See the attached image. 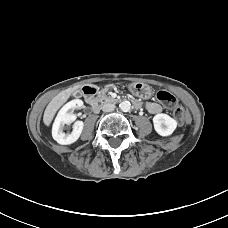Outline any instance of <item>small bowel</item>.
Listing matches in <instances>:
<instances>
[{
	"mask_svg": "<svg viewBox=\"0 0 228 228\" xmlns=\"http://www.w3.org/2000/svg\"><path fill=\"white\" fill-rule=\"evenodd\" d=\"M135 107L138 109L145 108L151 114H158L162 111V106L156 102H147L145 104L136 101Z\"/></svg>",
	"mask_w": 228,
	"mask_h": 228,
	"instance_id": "c3829d8e",
	"label": "small bowel"
}]
</instances>
